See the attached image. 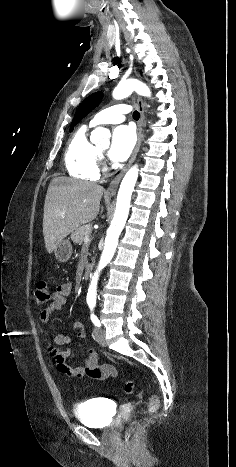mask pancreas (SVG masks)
<instances>
[{
	"label": "pancreas",
	"mask_w": 236,
	"mask_h": 467,
	"mask_svg": "<svg viewBox=\"0 0 236 467\" xmlns=\"http://www.w3.org/2000/svg\"><path fill=\"white\" fill-rule=\"evenodd\" d=\"M91 234V229L87 227H79L75 229L72 234H71V240L73 241L74 244H83L84 237L89 236ZM88 244L84 243V247H86Z\"/></svg>",
	"instance_id": "1"
}]
</instances>
